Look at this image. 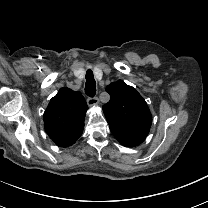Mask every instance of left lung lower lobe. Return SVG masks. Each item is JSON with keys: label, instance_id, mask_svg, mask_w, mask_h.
Returning <instances> with one entry per match:
<instances>
[{"label": "left lung lower lobe", "instance_id": "obj_1", "mask_svg": "<svg viewBox=\"0 0 208 208\" xmlns=\"http://www.w3.org/2000/svg\"><path fill=\"white\" fill-rule=\"evenodd\" d=\"M113 136L126 147H135L141 144L148 135V132L136 133L110 127Z\"/></svg>", "mask_w": 208, "mask_h": 208}]
</instances>
